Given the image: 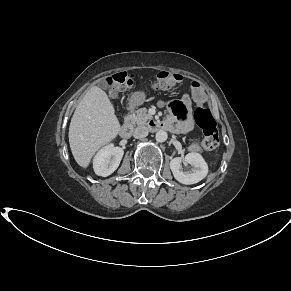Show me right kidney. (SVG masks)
I'll return each mask as SVG.
<instances>
[{"instance_id": "obj_1", "label": "right kidney", "mask_w": 291, "mask_h": 291, "mask_svg": "<svg viewBox=\"0 0 291 291\" xmlns=\"http://www.w3.org/2000/svg\"><path fill=\"white\" fill-rule=\"evenodd\" d=\"M123 154L122 148L114 147L112 144L102 148L93 160L95 173L103 177L111 175L118 168Z\"/></svg>"}]
</instances>
